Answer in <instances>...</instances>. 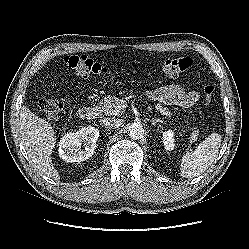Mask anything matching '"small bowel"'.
<instances>
[{
	"mask_svg": "<svg viewBox=\"0 0 249 249\" xmlns=\"http://www.w3.org/2000/svg\"><path fill=\"white\" fill-rule=\"evenodd\" d=\"M149 95L156 101L181 107H191L199 99L196 91H188L177 84L159 87L149 92Z\"/></svg>",
	"mask_w": 249,
	"mask_h": 249,
	"instance_id": "small-bowel-1",
	"label": "small bowel"
}]
</instances>
